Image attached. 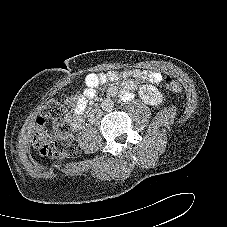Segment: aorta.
Instances as JSON below:
<instances>
[{
	"instance_id": "1",
	"label": "aorta",
	"mask_w": 227,
	"mask_h": 227,
	"mask_svg": "<svg viewBox=\"0 0 227 227\" xmlns=\"http://www.w3.org/2000/svg\"><path fill=\"white\" fill-rule=\"evenodd\" d=\"M101 107L103 110L110 112L114 107V102L110 99H106L101 103Z\"/></svg>"
}]
</instances>
